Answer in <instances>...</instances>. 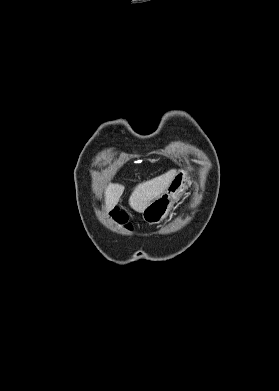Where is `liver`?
<instances>
[{
  "instance_id": "obj_1",
  "label": "liver",
  "mask_w": 279,
  "mask_h": 391,
  "mask_svg": "<svg viewBox=\"0 0 279 391\" xmlns=\"http://www.w3.org/2000/svg\"><path fill=\"white\" fill-rule=\"evenodd\" d=\"M175 175L176 170H170L152 180L138 184L129 198V205L135 211L142 213L151 201L166 191ZM123 191L124 186L120 184H109L105 191L107 211H110L118 204Z\"/></svg>"
}]
</instances>
